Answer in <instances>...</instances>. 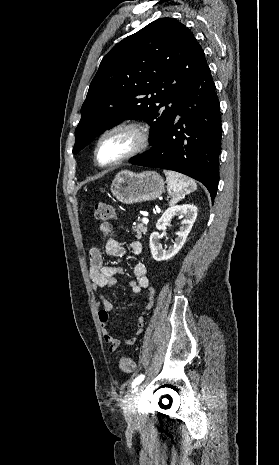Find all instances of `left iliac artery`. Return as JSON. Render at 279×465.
Listing matches in <instances>:
<instances>
[{
    "label": "left iliac artery",
    "instance_id": "obj_1",
    "mask_svg": "<svg viewBox=\"0 0 279 465\" xmlns=\"http://www.w3.org/2000/svg\"><path fill=\"white\" fill-rule=\"evenodd\" d=\"M144 375H139L138 377L135 378V380L132 382V387L134 388L136 385L140 384L144 380Z\"/></svg>",
    "mask_w": 279,
    "mask_h": 465
}]
</instances>
